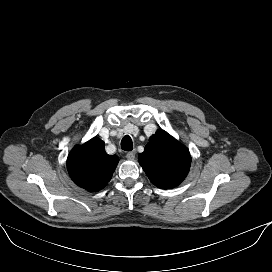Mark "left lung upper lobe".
Here are the masks:
<instances>
[{
    "label": "left lung upper lobe",
    "mask_w": 272,
    "mask_h": 272,
    "mask_svg": "<svg viewBox=\"0 0 272 272\" xmlns=\"http://www.w3.org/2000/svg\"><path fill=\"white\" fill-rule=\"evenodd\" d=\"M138 159L151 182L161 189L178 186L191 164L189 150L161 129L150 138Z\"/></svg>",
    "instance_id": "1"
}]
</instances>
